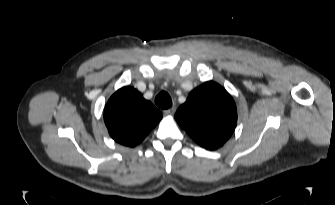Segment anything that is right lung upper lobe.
Here are the masks:
<instances>
[{"label": "right lung upper lobe", "instance_id": "cb5924a9", "mask_svg": "<svg viewBox=\"0 0 335 205\" xmlns=\"http://www.w3.org/2000/svg\"><path fill=\"white\" fill-rule=\"evenodd\" d=\"M161 118V112L129 86L114 93L104 109V121L110 136L129 147L139 144Z\"/></svg>", "mask_w": 335, "mask_h": 205}]
</instances>
